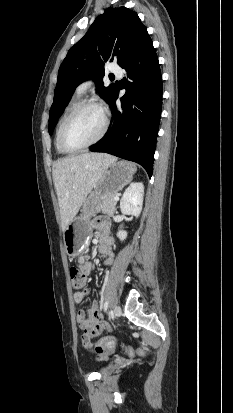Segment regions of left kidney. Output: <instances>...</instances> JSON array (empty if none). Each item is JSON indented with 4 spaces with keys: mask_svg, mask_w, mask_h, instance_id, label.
Here are the masks:
<instances>
[{
    "mask_svg": "<svg viewBox=\"0 0 233 413\" xmlns=\"http://www.w3.org/2000/svg\"><path fill=\"white\" fill-rule=\"evenodd\" d=\"M144 196V185L142 182L132 183L124 192L120 201V210L125 215L138 217L142 210ZM118 238L123 241L127 237V232L120 230Z\"/></svg>",
    "mask_w": 233,
    "mask_h": 413,
    "instance_id": "1",
    "label": "left kidney"
}]
</instances>
